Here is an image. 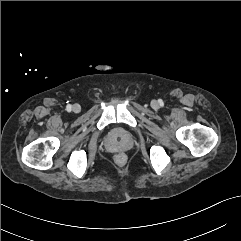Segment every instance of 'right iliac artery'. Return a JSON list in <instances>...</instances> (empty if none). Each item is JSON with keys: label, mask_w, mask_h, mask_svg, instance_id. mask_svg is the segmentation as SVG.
I'll return each instance as SVG.
<instances>
[{"label": "right iliac artery", "mask_w": 241, "mask_h": 241, "mask_svg": "<svg viewBox=\"0 0 241 241\" xmlns=\"http://www.w3.org/2000/svg\"><path fill=\"white\" fill-rule=\"evenodd\" d=\"M66 109H67V111H71L72 106H71L70 104H68V105L66 106Z\"/></svg>", "instance_id": "1"}]
</instances>
